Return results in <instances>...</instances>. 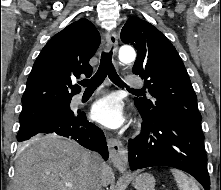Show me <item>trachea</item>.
<instances>
[{
	"label": "trachea",
	"mask_w": 221,
	"mask_h": 190,
	"mask_svg": "<svg viewBox=\"0 0 221 190\" xmlns=\"http://www.w3.org/2000/svg\"><path fill=\"white\" fill-rule=\"evenodd\" d=\"M109 77V79L116 85L120 87H126L129 89L121 80V78L118 76L113 63H112V50L110 52H103L101 55L100 65L96 72V74L88 79L83 80L80 82V84L83 87H86L87 90L90 89H96L104 80L106 77ZM133 91H142L137 89H132Z\"/></svg>",
	"instance_id": "3493384b"
}]
</instances>
